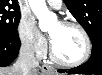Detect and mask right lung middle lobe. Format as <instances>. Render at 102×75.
I'll list each match as a JSON object with an SVG mask.
<instances>
[{"label": "right lung middle lobe", "mask_w": 102, "mask_h": 75, "mask_svg": "<svg viewBox=\"0 0 102 75\" xmlns=\"http://www.w3.org/2000/svg\"><path fill=\"white\" fill-rule=\"evenodd\" d=\"M20 21L18 4L0 2V35L15 37Z\"/></svg>", "instance_id": "obj_1"}]
</instances>
